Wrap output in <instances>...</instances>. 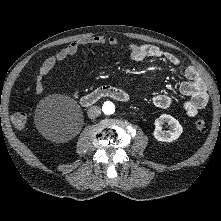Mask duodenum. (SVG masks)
<instances>
[{
    "mask_svg": "<svg viewBox=\"0 0 221 221\" xmlns=\"http://www.w3.org/2000/svg\"><path fill=\"white\" fill-rule=\"evenodd\" d=\"M112 98L119 102H127L129 101V95L126 91L119 87L105 85L99 87L90 93L81 97L80 101L83 106H91L95 104L98 100L102 98Z\"/></svg>",
    "mask_w": 221,
    "mask_h": 221,
    "instance_id": "obj_1",
    "label": "duodenum"
}]
</instances>
